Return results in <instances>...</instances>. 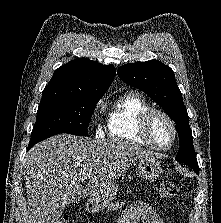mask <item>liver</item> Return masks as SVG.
<instances>
[{
  "instance_id": "6515ba94",
  "label": "liver",
  "mask_w": 221,
  "mask_h": 223,
  "mask_svg": "<svg viewBox=\"0 0 221 223\" xmlns=\"http://www.w3.org/2000/svg\"><path fill=\"white\" fill-rule=\"evenodd\" d=\"M143 158H154V153L123 140L61 134L36 144L23 162L28 207L21 223H56L66 204L110 188ZM84 180H89L85 187Z\"/></svg>"
}]
</instances>
